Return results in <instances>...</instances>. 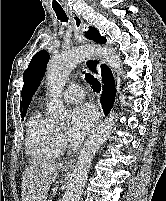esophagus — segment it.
Listing matches in <instances>:
<instances>
[{
  "mask_svg": "<svg viewBox=\"0 0 166 201\" xmlns=\"http://www.w3.org/2000/svg\"><path fill=\"white\" fill-rule=\"evenodd\" d=\"M66 12L68 13L69 17L72 20L73 26H74V36L76 41L79 44H84L86 43V40L83 37V19L74 11L71 9H66ZM85 65L89 69V71L94 75L95 78L98 80H101L100 78V71H99V66H100V61L97 58H91V57H86L84 59ZM98 105L101 109V103L100 100L98 101ZM102 110V109H101ZM103 118V114L101 116V119ZM75 163V159H70L67 164L71 165Z\"/></svg>",
  "mask_w": 166,
  "mask_h": 201,
  "instance_id": "1",
  "label": "esophagus"
}]
</instances>
